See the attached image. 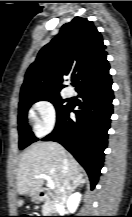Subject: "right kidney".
Here are the masks:
<instances>
[{
    "label": "right kidney",
    "instance_id": "right-kidney-1",
    "mask_svg": "<svg viewBox=\"0 0 132 217\" xmlns=\"http://www.w3.org/2000/svg\"><path fill=\"white\" fill-rule=\"evenodd\" d=\"M81 200V194L76 192L69 196L66 205L70 213H74L79 206Z\"/></svg>",
    "mask_w": 132,
    "mask_h": 217
}]
</instances>
